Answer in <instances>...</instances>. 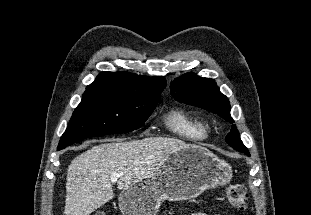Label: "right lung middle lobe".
Segmentation results:
<instances>
[{
	"mask_svg": "<svg viewBox=\"0 0 311 215\" xmlns=\"http://www.w3.org/2000/svg\"><path fill=\"white\" fill-rule=\"evenodd\" d=\"M160 98H134L107 93H84L61 136L57 150L85 138L127 133L140 128Z\"/></svg>",
	"mask_w": 311,
	"mask_h": 215,
	"instance_id": "dd1d6c3e",
	"label": "right lung middle lobe"
}]
</instances>
